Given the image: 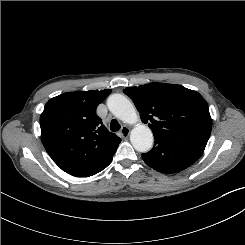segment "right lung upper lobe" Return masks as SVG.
I'll return each mask as SVG.
<instances>
[{
    "mask_svg": "<svg viewBox=\"0 0 245 245\" xmlns=\"http://www.w3.org/2000/svg\"><path fill=\"white\" fill-rule=\"evenodd\" d=\"M111 90L67 92L50 99L40 116L41 140L66 173L89 177L106 168L121 139L96 115Z\"/></svg>",
    "mask_w": 245,
    "mask_h": 245,
    "instance_id": "obj_1",
    "label": "right lung upper lobe"
}]
</instances>
